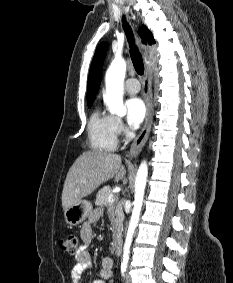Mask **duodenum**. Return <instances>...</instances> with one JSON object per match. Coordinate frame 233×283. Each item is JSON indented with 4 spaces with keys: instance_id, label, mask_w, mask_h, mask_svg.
I'll use <instances>...</instances> for the list:
<instances>
[{
    "instance_id": "410a0bca",
    "label": "duodenum",
    "mask_w": 233,
    "mask_h": 283,
    "mask_svg": "<svg viewBox=\"0 0 233 283\" xmlns=\"http://www.w3.org/2000/svg\"><path fill=\"white\" fill-rule=\"evenodd\" d=\"M122 251V242L121 240L118 238L115 242V252L117 255H120Z\"/></svg>"
}]
</instances>
